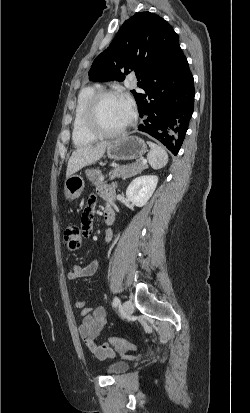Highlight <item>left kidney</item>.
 I'll return each mask as SVG.
<instances>
[{"instance_id": "5707ae66", "label": "left kidney", "mask_w": 250, "mask_h": 413, "mask_svg": "<svg viewBox=\"0 0 250 413\" xmlns=\"http://www.w3.org/2000/svg\"><path fill=\"white\" fill-rule=\"evenodd\" d=\"M158 183L155 175H143L135 178L126 190V196L137 207L144 206L154 193Z\"/></svg>"}]
</instances>
